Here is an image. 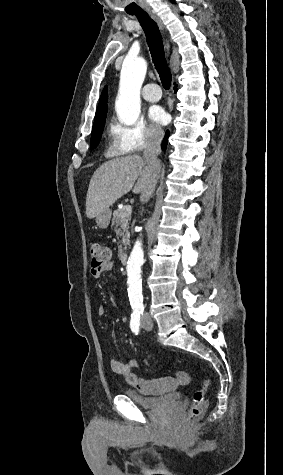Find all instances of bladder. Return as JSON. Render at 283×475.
Listing matches in <instances>:
<instances>
[{"instance_id":"1","label":"bladder","mask_w":283,"mask_h":475,"mask_svg":"<svg viewBox=\"0 0 283 475\" xmlns=\"http://www.w3.org/2000/svg\"><path fill=\"white\" fill-rule=\"evenodd\" d=\"M124 393L134 404L149 411L157 410L164 405L178 406L181 400V395L174 392L165 393L160 397H144L137 390L128 388Z\"/></svg>"}]
</instances>
